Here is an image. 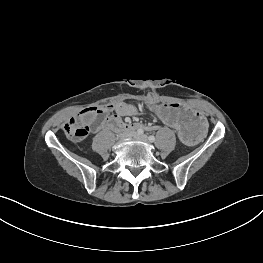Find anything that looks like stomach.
Wrapping results in <instances>:
<instances>
[{
    "label": "stomach",
    "mask_w": 263,
    "mask_h": 263,
    "mask_svg": "<svg viewBox=\"0 0 263 263\" xmlns=\"http://www.w3.org/2000/svg\"><path fill=\"white\" fill-rule=\"evenodd\" d=\"M149 111L159 124L173 128L178 140L188 147L204 143L211 133V126L204 114L189 110L183 104L152 103Z\"/></svg>",
    "instance_id": "1"
}]
</instances>
